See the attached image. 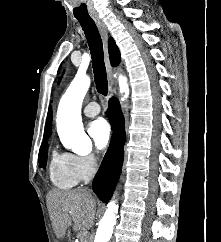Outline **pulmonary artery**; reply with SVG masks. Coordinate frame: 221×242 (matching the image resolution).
<instances>
[{"instance_id": "e3ab8cb5", "label": "pulmonary artery", "mask_w": 221, "mask_h": 242, "mask_svg": "<svg viewBox=\"0 0 221 242\" xmlns=\"http://www.w3.org/2000/svg\"><path fill=\"white\" fill-rule=\"evenodd\" d=\"M100 112V107L96 102H90L85 108H84V114L88 117H94L98 115Z\"/></svg>"}]
</instances>
